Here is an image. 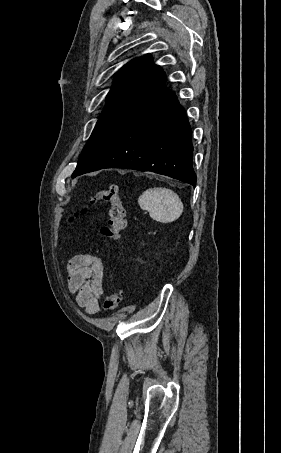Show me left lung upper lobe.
<instances>
[{"mask_svg":"<svg viewBox=\"0 0 281 453\" xmlns=\"http://www.w3.org/2000/svg\"><path fill=\"white\" fill-rule=\"evenodd\" d=\"M149 55L131 60L117 72L106 97V106L78 160L76 171L84 168L105 146L132 113L161 73Z\"/></svg>","mask_w":281,"mask_h":453,"instance_id":"1","label":"left lung upper lobe"}]
</instances>
